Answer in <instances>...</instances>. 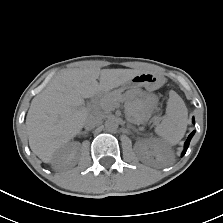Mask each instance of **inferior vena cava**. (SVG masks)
Instances as JSON below:
<instances>
[{
	"label": "inferior vena cava",
	"instance_id": "602c4592",
	"mask_svg": "<svg viewBox=\"0 0 223 223\" xmlns=\"http://www.w3.org/2000/svg\"><path fill=\"white\" fill-rule=\"evenodd\" d=\"M101 123V119L97 116L90 115L86 119L84 126L87 130L95 128V126L99 125Z\"/></svg>",
	"mask_w": 223,
	"mask_h": 223
}]
</instances>
